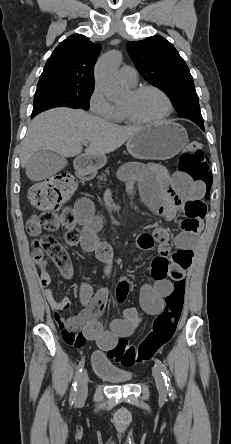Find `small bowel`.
<instances>
[{
	"label": "small bowel",
	"instance_id": "small-bowel-1",
	"mask_svg": "<svg viewBox=\"0 0 231 444\" xmlns=\"http://www.w3.org/2000/svg\"><path fill=\"white\" fill-rule=\"evenodd\" d=\"M118 177L127 183L130 194L134 193L137 184L146 204L166 220H171L177 213L185 211L186 204L190 202H203V183L193 182L185 176L174 177L160 165H125L118 172ZM71 213L72 219L61 223V227L67 231L66 242L70 246H80L84 251L94 253L99 260L109 265L113 258L112 248L97 236L100 219L95 216L92 201L87 197L79 198ZM200 229L201 220L198 231ZM198 231L182 232L176 238L177 249L173 253L164 230L159 229L153 234L142 233L137 237L136 244L141 250H151L155 243H158V255L151 264L154 282L145 283L140 290V306L145 313L158 315L163 311L165 300L173 290L172 282L183 279L191 265ZM33 257L40 273L45 299L68 344L80 348L89 340L95 342L101 350L108 351L114 348L119 340L131 336L140 326L142 319L139 312L133 307H127L119 318L110 323L109 329L105 330L98 319L106 306L109 289L104 287L94 293L87 282L82 283L80 289L82 311L76 316L64 318L62 313L70 306L69 298L65 296L60 301L54 298L51 277L43 253L34 252ZM129 289V281L121 278L116 287L117 299L125 300Z\"/></svg>",
	"mask_w": 231,
	"mask_h": 444
}]
</instances>
